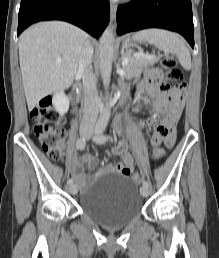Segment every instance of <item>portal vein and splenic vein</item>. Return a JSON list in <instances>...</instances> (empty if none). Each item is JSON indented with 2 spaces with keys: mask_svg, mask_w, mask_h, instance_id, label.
Masks as SVG:
<instances>
[{
  "mask_svg": "<svg viewBox=\"0 0 219 258\" xmlns=\"http://www.w3.org/2000/svg\"><path fill=\"white\" fill-rule=\"evenodd\" d=\"M155 56L153 55H144V54H141V55H138L137 58H141V59H152L154 58ZM128 63V58H125L123 61H122V66H126Z\"/></svg>",
  "mask_w": 219,
  "mask_h": 258,
  "instance_id": "1",
  "label": "portal vein and splenic vein"
}]
</instances>
